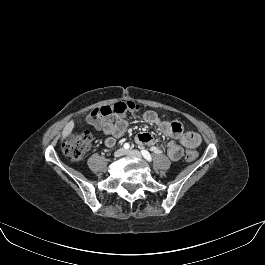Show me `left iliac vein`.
<instances>
[{
	"label": "left iliac vein",
	"instance_id": "4c4485c4",
	"mask_svg": "<svg viewBox=\"0 0 265 265\" xmlns=\"http://www.w3.org/2000/svg\"><path fill=\"white\" fill-rule=\"evenodd\" d=\"M125 155L130 156V157H137V158L142 157L141 153L137 150H126Z\"/></svg>",
	"mask_w": 265,
	"mask_h": 265
}]
</instances>
